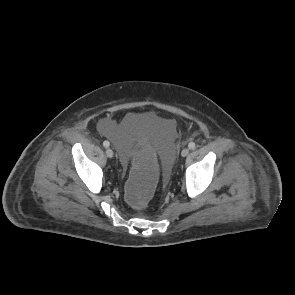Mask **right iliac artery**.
<instances>
[{"label": "right iliac artery", "instance_id": "82829eb1", "mask_svg": "<svg viewBox=\"0 0 295 295\" xmlns=\"http://www.w3.org/2000/svg\"><path fill=\"white\" fill-rule=\"evenodd\" d=\"M109 145H110V144H109V142H108V141H104V142H103V146H104V147H106V148H107V147H109Z\"/></svg>", "mask_w": 295, "mask_h": 295}]
</instances>
